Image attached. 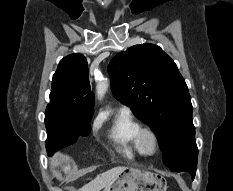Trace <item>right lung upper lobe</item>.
Instances as JSON below:
<instances>
[{
	"label": "right lung upper lobe",
	"instance_id": "right-lung-upper-lobe-1",
	"mask_svg": "<svg viewBox=\"0 0 233 191\" xmlns=\"http://www.w3.org/2000/svg\"><path fill=\"white\" fill-rule=\"evenodd\" d=\"M48 106L74 112L94 111V94L90 92L87 60L81 54L64 57L53 75Z\"/></svg>",
	"mask_w": 233,
	"mask_h": 191
}]
</instances>
